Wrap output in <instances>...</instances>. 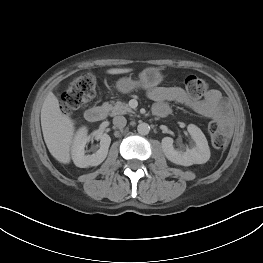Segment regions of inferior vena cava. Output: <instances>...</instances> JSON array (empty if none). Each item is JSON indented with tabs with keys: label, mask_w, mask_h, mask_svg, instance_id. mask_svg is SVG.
I'll use <instances>...</instances> for the list:
<instances>
[{
	"label": "inferior vena cava",
	"mask_w": 263,
	"mask_h": 263,
	"mask_svg": "<svg viewBox=\"0 0 263 263\" xmlns=\"http://www.w3.org/2000/svg\"><path fill=\"white\" fill-rule=\"evenodd\" d=\"M127 120L124 116H115L113 118V124L117 126L118 128H123L126 126Z\"/></svg>",
	"instance_id": "1"
}]
</instances>
